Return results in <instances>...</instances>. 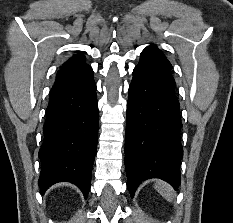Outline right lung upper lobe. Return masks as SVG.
I'll return each mask as SVG.
<instances>
[{
	"instance_id": "cb5924a9",
	"label": "right lung upper lobe",
	"mask_w": 233,
	"mask_h": 223,
	"mask_svg": "<svg viewBox=\"0 0 233 223\" xmlns=\"http://www.w3.org/2000/svg\"><path fill=\"white\" fill-rule=\"evenodd\" d=\"M85 61V56L82 53H78L71 59L67 60L61 68L72 66V65H77V64H82Z\"/></svg>"
}]
</instances>
